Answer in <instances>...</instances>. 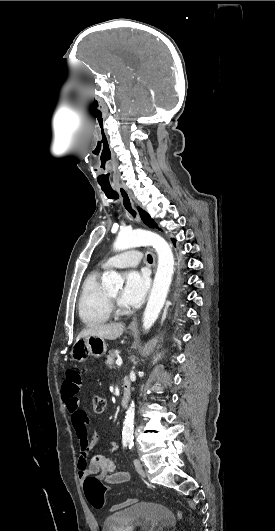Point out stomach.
I'll return each instance as SVG.
<instances>
[{
  "mask_svg": "<svg viewBox=\"0 0 275 531\" xmlns=\"http://www.w3.org/2000/svg\"><path fill=\"white\" fill-rule=\"evenodd\" d=\"M130 329V327H129ZM134 331V329H131ZM107 351V345L101 337H83V339H76L72 350H68V361H77V363H84L88 357H103Z\"/></svg>",
  "mask_w": 275,
  "mask_h": 531,
  "instance_id": "obj_1",
  "label": "stomach"
}]
</instances>
